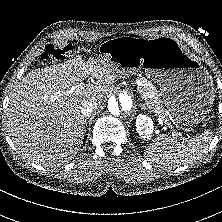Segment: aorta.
Here are the masks:
<instances>
[{
	"label": "aorta",
	"mask_w": 222,
	"mask_h": 222,
	"mask_svg": "<svg viewBox=\"0 0 222 222\" xmlns=\"http://www.w3.org/2000/svg\"><path fill=\"white\" fill-rule=\"evenodd\" d=\"M133 107V101L128 94H120L118 98L111 97L108 100L107 108L110 114L121 117L128 113Z\"/></svg>",
	"instance_id": "obj_1"
}]
</instances>
